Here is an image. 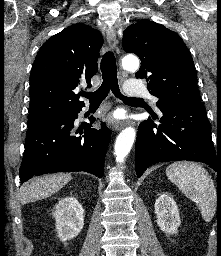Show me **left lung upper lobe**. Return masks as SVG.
I'll return each mask as SVG.
<instances>
[{"instance_id":"5c2ea615","label":"left lung upper lobe","mask_w":221,"mask_h":256,"mask_svg":"<svg viewBox=\"0 0 221 256\" xmlns=\"http://www.w3.org/2000/svg\"><path fill=\"white\" fill-rule=\"evenodd\" d=\"M123 48L142 61L137 78H146L147 88L158 107H202L196 86L197 74L191 54L180 36L165 26L141 20L123 32Z\"/></svg>"}]
</instances>
